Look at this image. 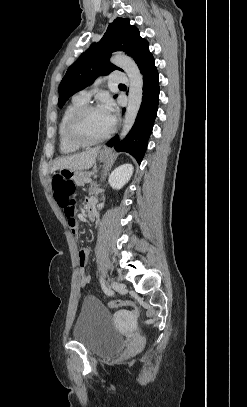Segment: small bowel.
<instances>
[{
    "instance_id": "obj_1",
    "label": "small bowel",
    "mask_w": 247,
    "mask_h": 407,
    "mask_svg": "<svg viewBox=\"0 0 247 407\" xmlns=\"http://www.w3.org/2000/svg\"><path fill=\"white\" fill-rule=\"evenodd\" d=\"M63 214L67 220V224L74 236L78 234V220L76 218V206L74 200L71 198L67 204L60 206ZM89 250L87 248H81L78 252V263L80 266L81 283L83 286L90 282V276L86 271V262L88 259Z\"/></svg>"
}]
</instances>
